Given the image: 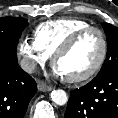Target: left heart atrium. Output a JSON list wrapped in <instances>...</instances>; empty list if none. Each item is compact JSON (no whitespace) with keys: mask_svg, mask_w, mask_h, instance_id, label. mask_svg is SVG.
<instances>
[{"mask_svg":"<svg viewBox=\"0 0 118 118\" xmlns=\"http://www.w3.org/2000/svg\"><path fill=\"white\" fill-rule=\"evenodd\" d=\"M53 74L58 77L63 76L56 66L53 68Z\"/></svg>","mask_w":118,"mask_h":118,"instance_id":"39dd6f15","label":"left heart atrium"}]
</instances>
